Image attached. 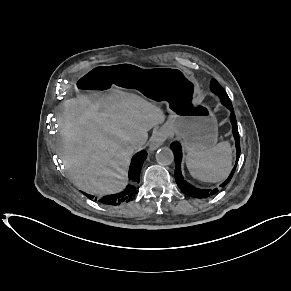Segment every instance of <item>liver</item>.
<instances>
[{"instance_id":"1","label":"liver","mask_w":291,"mask_h":291,"mask_svg":"<svg viewBox=\"0 0 291 291\" xmlns=\"http://www.w3.org/2000/svg\"><path fill=\"white\" fill-rule=\"evenodd\" d=\"M165 120L163 111L142 97L116 88L67 100L58 119L60 157L74 184L97 195L122 190L134 150L148 131Z\"/></svg>"}]
</instances>
